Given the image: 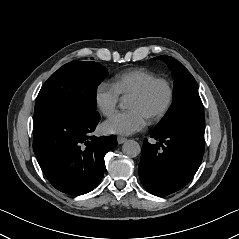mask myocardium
I'll list each match as a JSON object with an SVG mask.
<instances>
[{
  "instance_id": "myocardium-1",
  "label": "myocardium",
  "mask_w": 239,
  "mask_h": 239,
  "mask_svg": "<svg viewBox=\"0 0 239 239\" xmlns=\"http://www.w3.org/2000/svg\"><path fill=\"white\" fill-rule=\"evenodd\" d=\"M156 85H161L164 88L165 91V97L164 100L162 102V104L156 108L155 110L151 111L150 113H148L146 115V117L148 119H153L156 117H159L161 115H163L169 108L171 101H172V88L170 86V83L164 79V78H156L150 82H148L143 88H141L138 92L134 93L133 95H131L128 99H132V100H140L142 98H144L145 96H147L150 91L152 90V88Z\"/></svg>"
}]
</instances>
